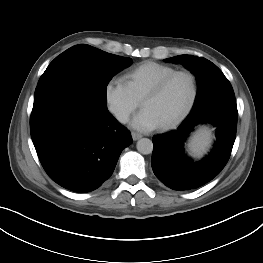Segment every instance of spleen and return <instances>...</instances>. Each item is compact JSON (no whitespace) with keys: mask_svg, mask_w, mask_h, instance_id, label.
I'll return each mask as SVG.
<instances>
[{"mask_svg":"<svg viewBox=\"0 0 263 263\" xmlns=\"http://www.w3.org/2000/svg\"><path fill=\"white\" fill-rule=\"evenodd\" d=\"M210 139L209 132L206 130L199 131L193 140V147L195 150L204 149L205 146L208 145Z\"/></svg>","mask_w":263,"mask_h":263,"instance_id":"obj_1","label":"spleen"}]
</instances>
